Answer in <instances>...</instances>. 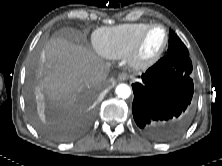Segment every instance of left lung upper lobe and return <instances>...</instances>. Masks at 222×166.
<instances>
[{"label": "left lung upper lobe", "instance_id": "obj_1", "mask_svg": "<svg viewBox=\"0 0 222 166\" xmlns=\"http://www.w3.org/2000/svg\"><path fill=\"white\" fill-rule=\"evenodd\" d=\"M172 54H182L189 56L187 47L180 40V38L172 30H170L169 47L167 50V55Z\"/></svg>", "mask_w": 222, "mask_h": 166}]
</instances>
